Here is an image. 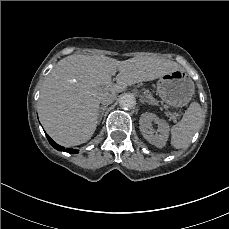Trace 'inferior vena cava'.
Masks as SVG:
<instances>
[{
  "label": "inferior vena cava",
  "instance_id": "602c4592",
  "mask_svg": "<svg viewBox=\"0 0 229 229\" xmlns=\"http://www.w3.org/2000/svg\"><path fill=\"white\" fill-rule=\"evenodd\" d=\"M101 104L104 106H108V105H110L107 101H101Z\"/></svg>",
  "mask_w": 229,
  "mask_h": 229
}]
</instances>
